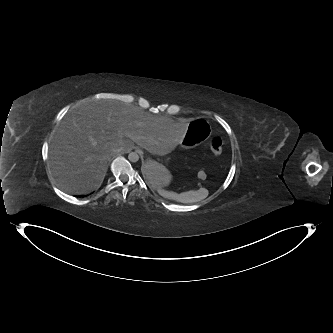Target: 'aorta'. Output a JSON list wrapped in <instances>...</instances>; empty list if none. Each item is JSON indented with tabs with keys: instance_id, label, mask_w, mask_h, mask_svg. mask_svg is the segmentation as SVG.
<instances>
[{
	"instance_id": "obj_1",
	"label": "aorta",
	"mask_w": 333,
	"mask_h": 333,
	"mask_svg": "<svg viewBox=\"0 0 333 333\" xmlns=\"http://www.w3.org/2000/svg\"><path fill=\"white\" fill-rule=\"evenodd\" d=\"M128 159L130 162H137L139 160V155L136 152H131L128 155Z\"/></svg>"
}]
</instances>
